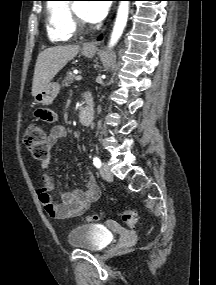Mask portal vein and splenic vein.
Returning a JSON list of instances; mask_svg holds the SVG:
<instances>
[{
  "label": "portal vein and splenic vein",
  "instance_id": "obj_1",
  "mask_svg": "<svg viewBox=\"0 0 216 285\" xmlns=\"http://www.w3.org/2000/svg\"><path fill=\"white\" fill-rule=\"evenodd\" d=\"M77 81H81L82 80V76L81 75H77L75 78Z\"/></svg>",
  "mask_w": 216,
  "mask_h": 285
}]
</instances>
